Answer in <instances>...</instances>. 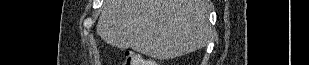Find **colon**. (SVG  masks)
I'll list each match as a JSON object with an SVG mask.
<instances>
[{"mask_svg": "<svg viewBox=\"0 0 309 65\" xmlns=\"http://www.w3.org/2000/svg\"><path fill=\"white\" fill-rule=\"evenodd\" d=\"M124 65H154L152 61H146L134 52H128L126 54V59L123 63Z\"/></svg>", "mask_w": 309, "mask_h": 65, "instance_id": "5ec220e1", "label": "colon"}]
</instances>
